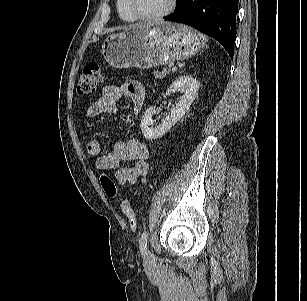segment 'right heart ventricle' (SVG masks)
<instances>
[{
	"label": "right heart ventricle",
	"instance_id": "right-heart-ventricle-1",
	"mask_svg": "<svg viewBox=\"0 0 307 301\" xmlns=\"http://www.w3.org/2000/svg\"><path fill=\"white\" fill-rule=\"evenodd\" d=\"M116 8L119 13V16L121 17L123 21L131 23L137 20L132 14V12L130 11L128 4H127V0H117Z\"/></svg>",
	"mask_w": 307,
	"mask_h": 301
}]
</instances>
